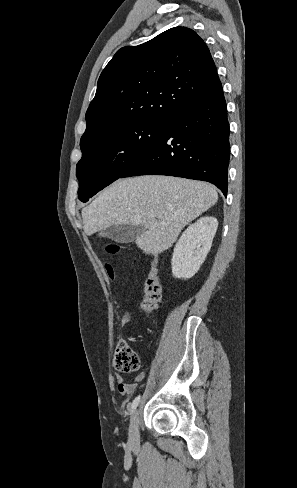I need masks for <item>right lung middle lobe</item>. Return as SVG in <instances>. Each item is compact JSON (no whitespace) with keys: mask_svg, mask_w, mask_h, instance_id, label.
I'll list each match as a JSON object with an SVG mask.
<instances>
[{"mask_svg":"<svg viewBox=\"0 0 297 488\" xmlns=\"http://www.w3.org/2000/svg\"><path fill=\"white\" fill-rule=\"evenodd\" d=\"M169 120H146L112 131L82 150L77 163L78 197H90L120 178L162 134Z\"/></svg>","mask_w":297,"mask_h":488,"instance_id":"right-lung-middle-lobe-1","label":"right lung middle lobe"}]
</instances>
